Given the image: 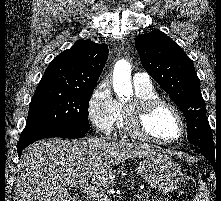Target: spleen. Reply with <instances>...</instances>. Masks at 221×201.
I'll return each instance as SVG.
<instances>
[{
    "mask_svg": "<svg viewBox=\"0 0 221 201\" xmlns=\"http://www.w3.org/2000/svg\"><path fill=\"white\" fill-rule=\"evenodd\" d=\"M209 200H210V196L207 191V187H206L205 183L201 181L200 182V190L196 194L194 201H209Z\"/></svg>",
    "mask_w": 221,
    "mask_h": 201,
    "instance_id": "obj_1",
    "label": "spleen"
}]
</instances>
